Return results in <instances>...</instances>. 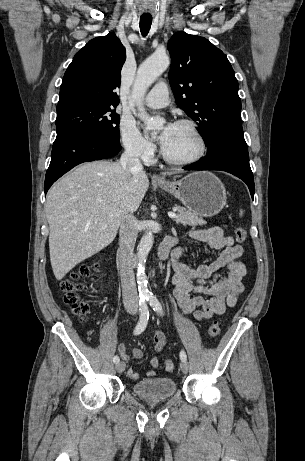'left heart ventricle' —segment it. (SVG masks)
<instances>
[{"label":"left heart ventricle","mask_w":305,"mask_h":461,"mask_svg":"<svg viewBox=\"0 0 305 461\" xmlns=\"http://www.w3.org/2000/svg\"><path fill=\"white\" fill-rule=\"evenodd\" d=\"M198 141L190 129L175 125L169 142L163 147L172 158L186 159L198 151Z\"/></svg>","instance_id":"b2bd125f"}]
</instances>
